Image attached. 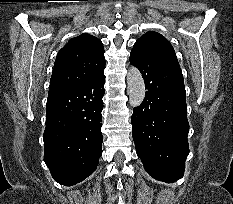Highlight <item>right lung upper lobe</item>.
I'll return each instance as SVG.
<instances>
[{
    "mask_svg": "<svg viewBox=\"0 0 233 204\" xmlns=\"http://www.w3.org/2000/svg\"><path fill=\"white\" fill-rule=\"evenodd\" d=\"M104 68V48L98 38L88 33L72 38L56 57L48 96L82 86Z\"/></svg>",
    "mask_w": 233,
    "mask_h": 204,
    "instance_id": "1",
    "label": "right lung upper lobe"
}]
</instances>
